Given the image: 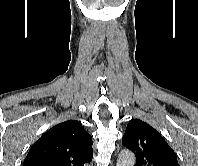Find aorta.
Wrapping results in <instances>:
<instances>
[{
  "label": "aorta",
  "instance_id": "obj_1",
  "mask_svg": "<svg viewBox=\"0 0 198 166\" xmlns=\"http://www.w3.org/2000/svg\"><path fill=\"white\" fill-rule=\"evenodd\" d=\"M135 156L130 150H122L119 154L116 166H134Z\"/></svg>",
  "mask_w": 198,
  "mask_h": 166
}]
</instances>
